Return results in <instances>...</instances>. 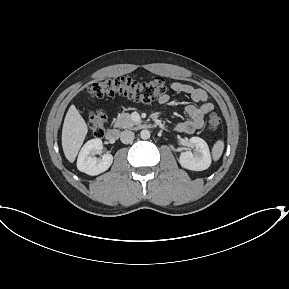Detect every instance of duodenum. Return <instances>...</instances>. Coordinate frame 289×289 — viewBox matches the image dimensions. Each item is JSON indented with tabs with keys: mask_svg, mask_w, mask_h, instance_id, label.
<instances>
[{
	"mask_svg": "<svg viewBox=\"0 0 289 289\" xmlns=\"http://www.w3.org/2000/svg\"><path fill=\"white\" fill-rule=\"evenodd\" d=\"M119 136H120V131L116 128L109 129L105 135L106 139L111 143L118 140Z\"/></svg>",
	"mask_w": 289,
	"mask_h": 289,
	"instance_id": "obj_1",
	"label": "duodenum"
}]
</instances>
